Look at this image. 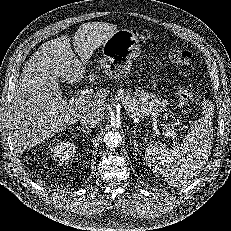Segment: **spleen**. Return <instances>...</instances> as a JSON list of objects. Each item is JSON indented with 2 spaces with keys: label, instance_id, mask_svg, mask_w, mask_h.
<instances>
[{
  "label": "spleen",
  "instance_id": "obj_1",
  "mask_svg": "<svg viewBox=\"0 0 231 231\" xmlns=\"http://www.w3.org/2000/svg\"><path fill=\"white\" fill-rule=\"evenodd\" d=\"M205 113L192 125L180 145L168 148L163 143H154L147 149L145 160L148 167L163 175L173 186L187 184L200 173L210 155L213 127L209 120L211 112L208 109Z\"/></svg>",
  "mask_w": 231,
  "mask_h": 231
}]
</instances>
